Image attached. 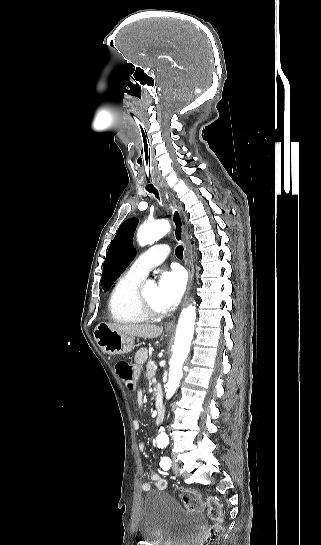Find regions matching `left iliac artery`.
I'll list each match as a JSON object with an SVG mask.
<instances>
[{
    "mask_svg": "<svg viewBox=\"0 0 321 545\" xmlns=\"http://www.w3.org/2000/svg\"><path fill=\"white\" fill-rule=\"evenodd\" d=\"M163 448V447H161ZM171 459L169 457H164L162 460H161V463H160V466L164 469V470H168L171 466Z\"/></svg>",
    "mask_w": 321,
    "mask_h": 545,
    "instance_id": "44dca946",
    "label": "left iliac artery"
}]
</instances>
